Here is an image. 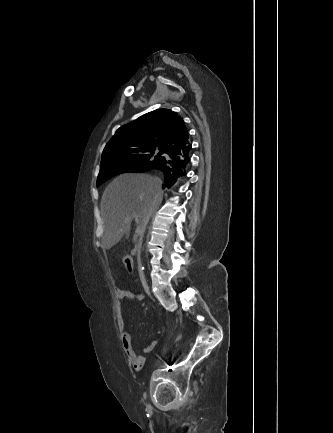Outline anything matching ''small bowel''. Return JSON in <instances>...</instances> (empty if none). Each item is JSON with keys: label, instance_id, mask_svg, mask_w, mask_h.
<instances>
[{"label": "small bowel", "instance_id": "1", "mask_svg": "<svg viewBox=\"0 0 333 433\" xmlns=\"http://www.w3.org/2000/svg\"><path fill=\"white\" fill-rule=\"evenodd\" d=\"M116 296L119 301H123L125 299L128 300H141L142 295L131 291V290H124V289H117L116 290ZM118 324L121 330V343L125 350V353L127 355L129 363L132 365L133 368L136 370H140L145 362V357L143 355H139L133 348L132 343V337L130 333L126 330V321L122 314V311L120 312V315L118 316ZM157 345V341H152L145 349V353L151 352Z\"/></svg>", "mask_w": 333, "mask_h": 433}]
</instances>
